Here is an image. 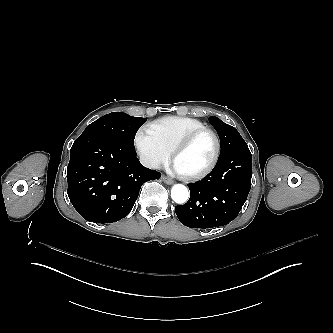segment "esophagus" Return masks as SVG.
Listing matches in <instances>:
<instances>
[{
    "label": "esophagus",
    "mask_w": 333,
    "mask_h": 333,
    "mask_svg": "<svg viewBox=\"0 0 333 333\" xmlns=\"http://www.w3.org/2000/svg\"><path fill=\"white\" fill-rule=\"evenodd\" d=\"M161 179L165 184H168V185H171L174 183V181L172 179H170L169 177H167L164 174L162 175Z\"/></svg>",
    "instance_id": "obj_1"
}]
</instances>
